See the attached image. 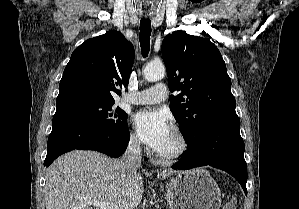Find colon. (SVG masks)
I'll return each mask as SVG.
<instances>
[{
    "label": "colon",
    "instance_id": "obj_1",
    "mask_svg": "<svg viewBox=\"0 0 299 209\" xmlns=\"http://www.w3.org/2000/svg\"><path fill=\"white\" fill-rule=\"evenodd\" d=\"M224 209H234L233 204L232 203H228Z\"/></svg>",
    "mask_w": 299,
    "mask_h": 209
}]
</instances>
